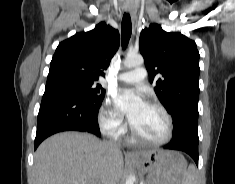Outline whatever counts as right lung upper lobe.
<instances>
[{
  "label": "right lung upper lobe",
  "instance_id": "cb5924a9",
  "mask_svg": "<svg viewBox=\"0 0 235 184\" xmlns=\"http://www.w3.org/2000/svg\"><path fill=\"white\" fill-rule=\"evenodd\" d=\"M119 46V33L101 22L89 32L62 41L52 58L46 88L59 86L65 78L96 83Z\"/></svg>",
  "mask_w": 235,
  "mask_h": 184
}]
</instances>
